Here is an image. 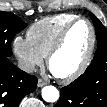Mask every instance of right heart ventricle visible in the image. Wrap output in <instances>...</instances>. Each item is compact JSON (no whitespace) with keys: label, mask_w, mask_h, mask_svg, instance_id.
<instances>
[{"label":"right heart ventricle","mask_w":107,"mask_h":107,"mask_svg":"<svg viewBox=\"0 0 107 107\" xmlns=\"http://www.w3.org/2000/svg\"><path fill=\"white\" fill-rule=\"evenodd\" d=\"M78 18L75 14L62 13L44 17L34 22L27 30V38L45 57L55 43L62 29L72 20Z\"/></svg>","instance_id":"right-heart-ventricle-1"}]
</instances>
